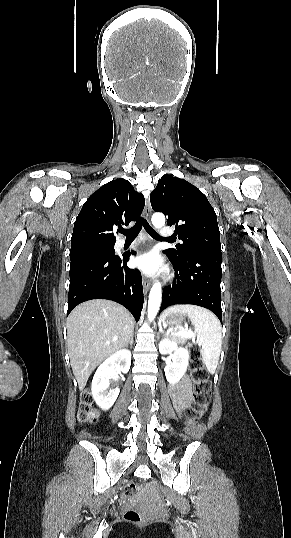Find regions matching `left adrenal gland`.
Masks as SVG:
<instances>
[{"label":"left adrenal gland","instance_id":"1","mask_svg":"<svg viewBox=\"0 0 291 538\" xmlns=\"http://www.w3.org/2000/svg\"><path fill=\"white\" fill-rule=\"evenodd\" d=\"M160 333H164V331H163L162 327H160Z\"/></svg>","mask_w":291,"mask_h":538}]
</instances>
